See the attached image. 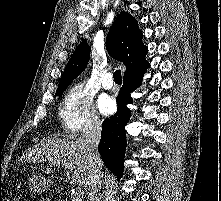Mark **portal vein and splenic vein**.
Here are the masks:
<instances>
[{"label": "portal vein and splenic vein", "mask_w": 221, "mask_h": 201, "mask_svg": "<svg viewBox=\"0 0 221 201\" xmlns=\"http://www.w3.org/2000/svg\"><path fill=\"white\" fill-rule=\"evenodd\" d=\"M59 165H62V164H60V163H58ZM65 168H66V166H64ZM83 196H84V192L82 191V190H78L75 194H74V196H73V198H72V201H82V198H83Z\"/></svg>", "instance_id": "18ae733b"}]
</instances>
